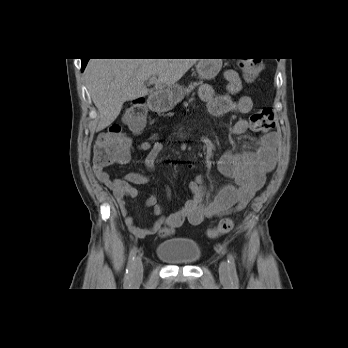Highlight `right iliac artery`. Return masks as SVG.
<instances>
[{
  "label": "right iliac artery",
  "mask_w": 348,
  "mask_h": 348,
  "mask_svg": "<svg viewBox=\"0 0 348 348\" xmlns=\"http://www.w3.org/2000/svg\"><path fill=\"white\" fill-rule=\"evenodd\" d=\"M136 248H133L129 254L128 264L125 273V283L129 284L132 277L133 266L136 258Z\"/></svg>",
  "instance_id": "82829eb1"
}]
</instances>
